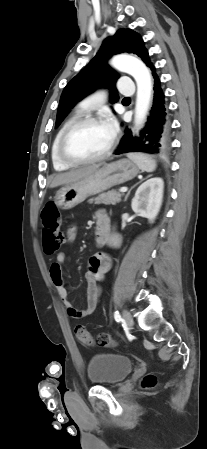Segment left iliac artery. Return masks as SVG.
Segmentation results:
<instances>
[{"label": "left iliac artery", "instance_id": "obj_1", "mask_svg": "<svg viewBox=\"0 0 207 449\" xmlns=\"http://www.w3.org/2000/svg\"><path fill=\"white\" fill-rule=\"evenodd\" d=\"M114 318L117 322H120L122 320L121 315L118 311L114 312Z\"/></svg>", "mask_w": 207, "mask_h": 449}]
</instances>
